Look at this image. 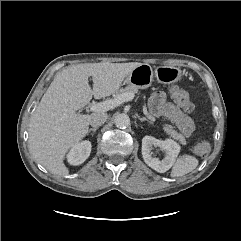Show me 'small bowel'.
<instances>
[{"label": "small bowel", "instance_id": "obj_1", "mask_svg": "<svg viewBox=\"0 0 241 241\" xmlns=\"http://www.w3.org/2000/svg\"><path fill=\"white\" fill-rule=\"evenodd\" d=\"M151 110L155 116L165 117L175 124L184 136L189 137L194 132L195 124L193 120L183 114L174 103L168 101L164 92L153 93Z\"/></svg>", "mask_w": 241, "mask_h": 241}]
</instances>
